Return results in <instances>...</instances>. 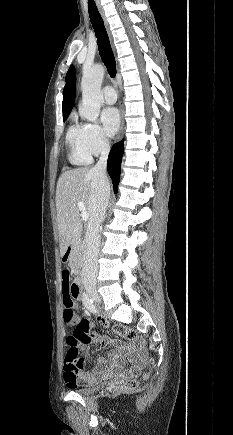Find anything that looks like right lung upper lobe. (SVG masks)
Wrapping results in <instances>:
<instances>
[{
    "mask_svg": "<svg viewBox=\"0 0 233 435\" xmlns=\"http://www.w3.org/2000/svg\"><path fill=\"white\" fill-rule=\"evenodd\" d=\"M75 85H76V75L74 67L71 66L66 75V85L63 91V116L69 115L75 100Z\"/></svg>",
    "mask_w": 233,
    "mask_h": 435,
    "instance_id": "right-lung-upper-lobe-1",
    "label": "right lung upper lobe"
}]
</instances>
